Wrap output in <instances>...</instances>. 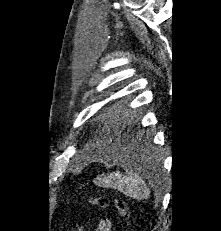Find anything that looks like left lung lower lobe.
Masks as SVG:
<instances>
[{
	"mask_svg": "<svg viewBox=\"0 0 221 231\" xmlns=\"http://www.w3.org/2000/svg\"><path fill=\"white\" fill-rule=\"evenodd\" d=\"M134 134L135 128L131 125H127L124 129L121 130V133L115 136L117 138V141H121L123 144L121 149L123 154H131L135 150L136 146L134 144Z\"/></svg>",
	"mask_w": 221,
	"mask_h": 231,
	"instance_id": "left-lung-lower-lobe-1",
	"label": "left lung lower lobe"
}]
</instances>
